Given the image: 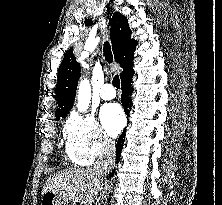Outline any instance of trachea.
Returning a JSON list of instances; mask_svg holds the SVG:
<instances>
[{
	"label": "trachea",
	"mask_w": 222,
	"mask_h": 205,
	"mask_svg": "<svg viewBox=\"0 0 222 205\" xmlns=\"http://www.w3.org/2000/svg\"><path fill=\"white\" fill-rule=\"evenodd\" d=\"M103 52H104L105 59L108 61V63H112L113 55L111 51V46L108 41L104 43ZM112 83L114 87H116L117 89H120V79L118 75L114 76Z\"/></svg>",
	"instance_id": "obj_1"
}]
</instances>
